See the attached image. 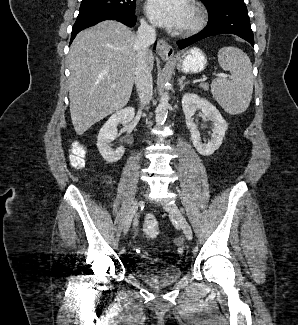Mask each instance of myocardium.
<instances>
[{"instance_id": "1", "label": "myocardium", "mask_w": 298, "mask_h": 325, "mask_svg": "<svg viewBox=\"0 0 298 325\" xmlns=\"http://www.w3.org/2000/svg\"><path fill=\"white\" fill-rule=\"evenodd\" d=\"M188 6L190 8V11L192 13V17H193V20H192V23L185 29L183 30H180L179 31V34H192V33H195L197 32L198 30H200L203 26V23H204V20H203V16L199 10V8L195 5V3L193 2H189L188 3ZM149 67L146 69V72L149 71Z\"/></svg>"}]
</instances>
